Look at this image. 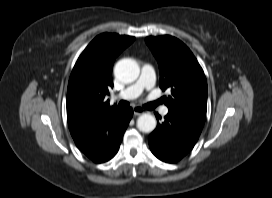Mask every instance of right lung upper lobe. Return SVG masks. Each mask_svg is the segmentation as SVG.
Segmentation results:
<instances>
[{"label":"right lung upper lobe","instance_id":"right-lung-upper-lobe-1","mask_svg":"<svg viewBox=\"0 0 272 198\" xmlns=\"http://www.w3.org/2000/svg\"><path fill=\"white\" fill-rule=\"evenodd\" d=\"M134 40L131 36L103 33L79 56L67 89V119L73 138L117 108L105 100L113 87L112 67L115 58Z\"/></svg>","mask_w":272,"mask_h":198}]
</instances>
